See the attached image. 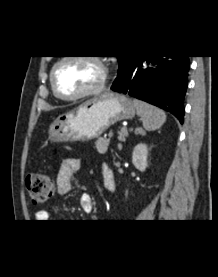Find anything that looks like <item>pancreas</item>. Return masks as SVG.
I'll list each match as a JSON object with an SVG mask.
<instances>
[{"label": "pancreas", "instance_id": "pancreas-1", "mask_svg": "<svg viewBox=\"0 0 218 277\" xmlns=\"http://www.w3.org/2000/svg\"><path fill=\"white\" fill-rule=\"evenodd\" d=\"M110 140L107 138H98L95 141V147L100 154H105L107 152L108 146H109Z\"/></svg>", "mask_w": 218, "mask_h": 277}]
</instances>
